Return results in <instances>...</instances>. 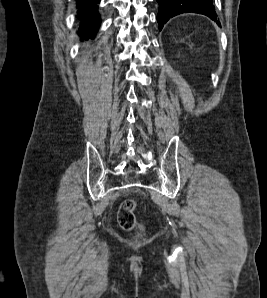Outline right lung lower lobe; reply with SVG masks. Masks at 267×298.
<instances>
[{"label":"right lung lower lobe","instance_id":"obj_1","mask_svg":"<svg viewBox=\"0 0 267 298\" xmlns=\"http://www.w3.org/2000/svg\"><path fill=\"white\" fill-rule=\"evenodd\" d=\"M100 0H78L77 14L82 20V24L78 30L79 36L84 39L94 38L100 25L99 15L97 14V3Z\"/></svg>","mask_w":267,"mask_h":298}]
</instances>
